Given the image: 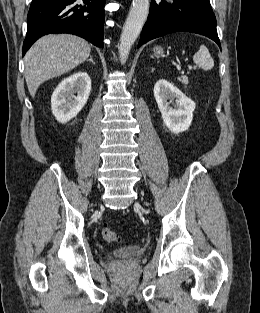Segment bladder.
<instances>
[{"mask_svg":"<svg viewBox=\"0 0 260 313\" xmlns=\"http://www.w3.org/2000/svg\"><path fill=\"white\" fill-rule=\"evenodd\" d=\"M144 247L141 244H130L115 249L110 255L115 259L132 258L142 255Z\"/></svg>","mask_w":260,"mask_h":313,"instance_id":"bladder-1","label":"bladder"}]
</instances>
